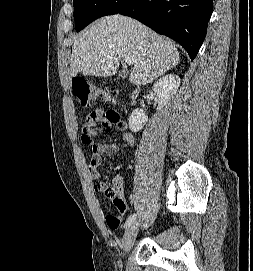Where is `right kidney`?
<instances>
[{
    "mask_svg": "<svg viewBox=\"0 0 253 271\" xmlns=\"http://www.w3.org/2000/svg\"><path fill=\"white\" fill-rule=\"evenodd\" d=\"M181 79L174 74L166 75L160 78L154 85L153 91L158 98L157 110L160 111L168 101L176 94ZM148 117L142 109H135L129 117V128L132 132L136 133L140 131L147 123Z\"/></svg>",
    "mask_w": 253,
    "mask_h": 271,
    "instance_id": "ca27d5eb",
    "label": "right kidney"
}]
</instances>
